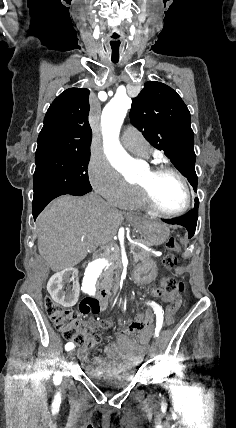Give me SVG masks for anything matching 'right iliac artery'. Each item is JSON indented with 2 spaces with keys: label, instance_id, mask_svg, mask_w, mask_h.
Listing matches in <instances>:
<instances>
[{
  "label": "right iliac artery",
  "instance_id": "82829eb1",
  "mask_svg": "<svg viewBox=\"0 0 236 428\" xmlns=\"http://www.w3.org/2000/svg\"><path fill=\"white\" fill-rule=\"evenodd\" d=\"M74 348V344L72 342H69L65 345V350L70 351Z\"/></svg>",
  "mask_w": 236,
  "mask_h": 428
}]
</instances>
